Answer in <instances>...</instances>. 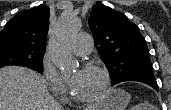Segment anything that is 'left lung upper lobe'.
<instances>
[{"label": "left lung upper lobe", "instance_id": "left-lung-upper-lobe-1", "mask_svg": "<svg viewBox=\"0 0 171 110\" xmlns=\"http://www.w3.org/2000/svg\"><path fill=\"white\" fill-rule=\"evenodd\" d=\"M89 27L113 86L131 79L155 80L146 41L125 15L98 2Z\"/></svg>", "mask_w": 171, "mask_h": 110}]
</instances>
